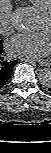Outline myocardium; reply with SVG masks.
Wrapping results in <instances>:
<instances>
[{
  "label": "myocardium",
  "instance_id": "1",
  "mask_svg": "<svg viewBox=\"0 0 51 153\" xmlns=\"http://www.w3.org/2000/svg\"><path fill=\"white\" fill-rule=\"evenodd\" d=\"M42 15L51 19V7L42 11Z\"/></svg>",
  "mask_w": 51,
  "mask_h": 153
}]
</instances>
